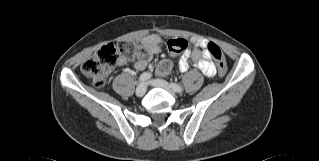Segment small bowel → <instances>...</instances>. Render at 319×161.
<instances>
[{
  "label": "small bowel",
  "mask_w": 319,
  "mask_h": 161,
  "mask_svg": "<svg viewBox=\"0 0 319 161\" xmlns=\"http://www.w3.org/2000/svg\"><path fill=\"white\" fill-rule=\"evenodd\" d=\"M195 48L192 52L184 53L178 62V68L181 72H186L189 69L190 60L193 61L194 66L199 69L208 77H213L216 74V66L211 61V55L207 50L208 42L201 38L192 39ZM161 43V37L157 34H151L142 38L138 42V48H142L145 51V57L139 58L134 62V66L138 70H144L150 58L159 52V45ZM129 62L125 57H120L117 61L118 66L126 65ZM155 72L160 76H165L168 72L159 70V63L155 65Z\"/></svg>",
  "instance_id": "1"
}]
</instances>
